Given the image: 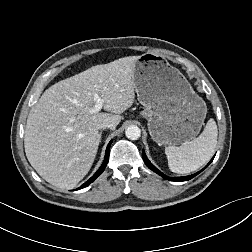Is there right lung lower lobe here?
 Instances as JSON below:
<instances>
[{"mask_svg": "<svg viewBox=\"0 0 252 252\" xmlns=\"http://www.w3.org/2000/svg\"><path fill=\"white\" fill-rule=\"evenodd\" d=\"M111 143H112V141H110L109 144L107 145L105 159H104L103 164L99 168V170L87 182H85L83 185H81L78 189H82V188L88 186L89 184H91L104 171V169L108 163V160H109V149H110Z\"/></svg>", "mask_w": 252, "mask_h": 252, "instance_id": "right-lung-lower-lobe-1", "label": "right lung lower lobe"}]
</instances>
